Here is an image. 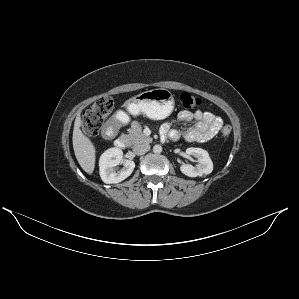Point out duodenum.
Listing matches in <instances>:
<instances>
[{
	"label": "duodenum",
	"mask_w": 299,
	"mask_h": 299,
	"mask_svg": "<svg viewBox=\"0 0 299 299\" xmlns=\"http://www.w3.org/2000/svg\"><path fill=\"white\" fill-rule=\"evenodd\" d=\"M118 130L119 124L117 122H109L103 130V136L106 139L111 140ZM114 145L119 149H125L127 146V140L124 137L116 138L114 140Z\"/></svg>",
	"instance_id": "410a0bca"
}]
</instances>
